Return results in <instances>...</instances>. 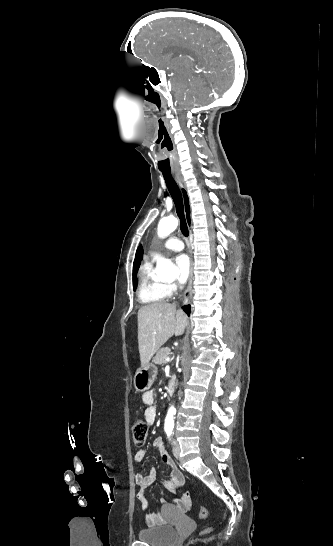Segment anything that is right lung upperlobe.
Returning <instances> with one entry per match:
<instances>
[{
  "mask_svg": "<svg viewBox=\"0 0 333 546\" xmlns=\"http://www.w3.org/2000/svg\"><path fill=\"white\" fill-rule=\"evenodd\" d=\"M142 257H143V249L142 247L140 246L138 249H137V252H136V258L134 260V263H137L139 265V263L141 262L142 260ZM135 283V280H133V284Z\"/></svg>",
  "mask_w": 333,
  "mask_h": 546,
  "instance_id": "right-lung-upper-lobe-1",
  "label": "right lung upper lobe"
}]
</instances>
